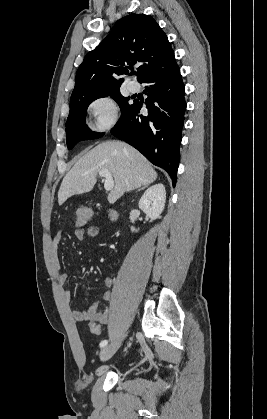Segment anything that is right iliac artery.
<instances>
[{
  "label": "right iliac artery",
  "mask_w": 267,
  "mask_h": 419,
  "mask_svg": "<svg viewBox=\"0 0 267 419\" xmlns=\"http://www.w3.org/2000/svg\"><path fill=\"white\" fill-rule=\"evenodd\" d=\"M107 343H108V341H107V340H103V341H101V343H100V347L102 348V347L106 346V345H107Z\"/></svg>",
  "instance_id": "82829eb1"
}]
</instances>
